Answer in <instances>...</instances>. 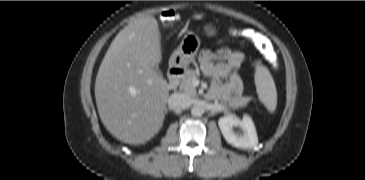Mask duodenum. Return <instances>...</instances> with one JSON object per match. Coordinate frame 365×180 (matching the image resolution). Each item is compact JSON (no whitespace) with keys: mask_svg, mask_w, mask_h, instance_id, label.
Instances as JSON below:
<instances>
[{"mask_svg":"<svg viewBox=\"0 0 365 180\" xmlns=\"http://www.w3.org/2000/svg\"><path fill=\"white\" fill-rule=\"evenodd\" d=\"M184 73V68L173 66L168 71V88L175 90L179 85L181 75Z\"/></svg>","mask_w":365,"mask_h":180,"instance_id":"1","label":"duodenum"}]
</instances>
